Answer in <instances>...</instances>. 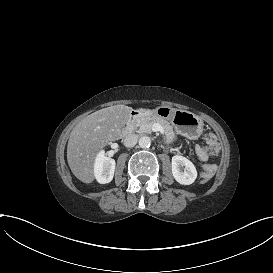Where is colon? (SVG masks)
<instances>
[{"instance_id": "1", "label": "colon", "mask_w": 273, "mask_h": 273, "mask_svg": "<svg viewBox=\"0 0 273 273\" xmlns=\"http://www.w3.org/2000/svg\"><path fill=\"white\" fill-rule=\"evenodd\" d=\"M215 172V166L212 165V164H208L204 167V172H203V176L206 178V179H209L212 177V175L214 174Z\"/></svg>"}]
</instances>
